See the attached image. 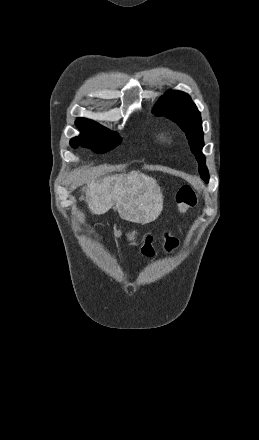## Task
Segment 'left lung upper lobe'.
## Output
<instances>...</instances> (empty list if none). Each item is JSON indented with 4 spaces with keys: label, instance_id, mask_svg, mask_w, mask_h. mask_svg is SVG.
Wrapping results in <instances>:
<instances>
[{
    "label": "left lung upper lobe",
    "instance_id": "left-lung-upper-lobe-1",
    "mask_svg": "<svg viewBox=\"0 0 259 440\" xmlns=\"http://www.w3.org/2000/svg\"><path fill=\"white\" fill-rule=\"evenodd\" d=\"M153 112L157 116L165 115L176 122L186 133L190 149L199 163L201 178L208 183L209 173L205 166V156L202 154L204 133L201 115L189 95L180 91H168L160 98Z\"/></svg>",
    "mask_w": 259,
    "mask_h": 440
}]
</instances>
